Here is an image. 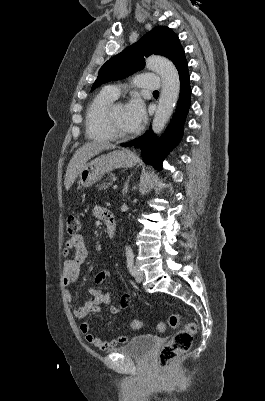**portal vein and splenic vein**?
<instances>
[{
    "label": "portal vein and splenic vein",
    "instance_id": "obj_1",
    "mask_svg": "<svg viewBox=\"0 0 265 401\" xmlns=\"http://www.w3.org/2000/svg\"><path fill=\"white\" fill-rule=\"evenodd\" d=\"M112 188H113V190H116L117 185H116V184H113V185H112Z\"/></svg>",
    "mask_w": 265,
    "mask_h": 401
}]
</instances>
